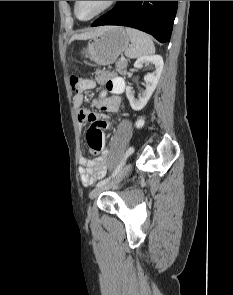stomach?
Wrapping results in <instances>:
<instances>
[{
    "label": "stomach",
    "mask_w": 233,
    "mask_h": 295,
    "mask_svg": "<svg viewBox=\"0 0 233 295\" xmlns=\"http://www.w3.org/2000/svg\"><path fill=\"white\" fill-rule=\"evenodd\" d=\"M130 37L123 27L109 26L103 32L92 37L80 54L98 65H110L128 49Z\"/></svg>",
    "instance_id": "obj_1"
}]
</instances>
